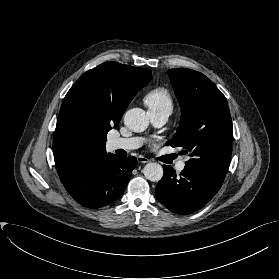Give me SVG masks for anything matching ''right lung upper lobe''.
<instances>
[{
  "mask_svg": "<svg viewBox=\"0 0 279 279\" xmlns=\"http://www.w3.org/2000/svg\"><path fill=\"white\" fill-rule=\"evenodd\" d=\"M151 77L148 69L111 61L85 72L74 83L63 100L53 137V154L59 175L76 163L106 155V144L102 140H94L86 146L73 142L70 124L76 109L80 107L98 125L111 130Z\"/></svg>",
  "mask_w": 279,
  "mask_h": 279,
  "instance_id": "obj_1",
  "label": "right lung upper lobe"
}]
</instances>
